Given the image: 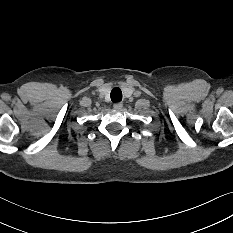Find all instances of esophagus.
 Listing matches in <instances>:
<instances>
[{
	"mask_svg": "<svg viewBox=\"0 0 233 233\" xmlns=\"http://www.w3.org/2000/svg\"><path fill=\"white\" fill-rule=\"evenodd\" d=\"M123 107V103L119 102V103H115L113 105V108L116 109V110H121Z\"/></svg>",
	"mask_w": 233,
	"mask_h": 233,
	"instance_id": "esophagus-1",
	"label": "esophagus"
}]
</instances>
